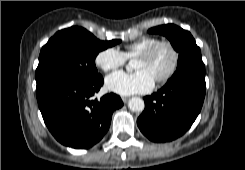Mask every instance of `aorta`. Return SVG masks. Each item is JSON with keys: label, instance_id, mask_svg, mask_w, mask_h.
<instances>
[{"label": "aorta", "instance_id": "aorta-1", "mask_svg": "<svg viewBox=\"0 0 245 170\" xmlns=\"http://www.w3.org/2000/svg\"><path fill=\"white\" fill-rule=\"evenodd\" d=\"M127 70H131L130 65L127 66ZM128 107L133 112H142L144 110L145 104L143 99L139 97H133L129 100Z\"/></svg>", "mask_w": 245, "mask_h": 170}]
</instances>
